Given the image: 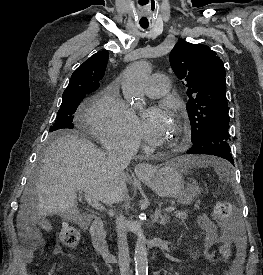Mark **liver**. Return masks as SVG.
Returning a JSON list of instances; mask_svg holds the SVG:
<instances>
[{"label": "liver", "instance_id": "liver-1", "mask_svg": "<svg viewBox=\"0 0 263 275\" xmlns=\"http://www.w3.org/2000/svg\"><path fill=\"white\" fill-rule=\"evenodd\" d=\"M77 191H84L108 205L127 196L125 181L114 176L104 152L77 134H62L47 147L37 183L24 191L17 227L20 228L24 220L58 213L75 219Z\"/></svg>", "mask_w": 263, "mask_h": 275}]
</instances>
